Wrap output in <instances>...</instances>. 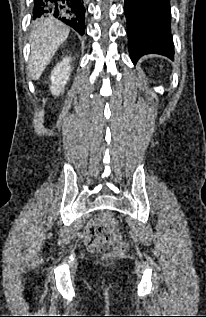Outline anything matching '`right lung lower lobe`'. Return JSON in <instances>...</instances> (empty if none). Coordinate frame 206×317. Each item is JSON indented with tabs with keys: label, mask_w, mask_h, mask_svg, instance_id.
<instances>
[{
	"label": "right lung lower lobe",
	"mask_w": 206,
	"mask_h": 317,
	"mask_svg": "<svg viewBox=\"0 0 206 317\" xmlns=\"http://www.w3.org/2000/svg\"><path fill=\"white\" fill-rule=\"evenodd\" d=\"M52 14L73 27L80 35L85 33V6L83 0H34L33 18Z\"/></svg>",
	"instance_id": "obj_1"
}]
</instances>
